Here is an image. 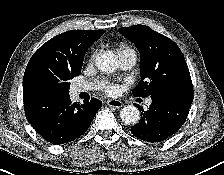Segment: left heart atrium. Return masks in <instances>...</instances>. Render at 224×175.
<instances>
[{"label": "left heart atrium", "mask_w": 224, "mask_h": 175, "mask_svg": "<svg viewBox=\"0 0 224 175\" xmlns=\"http://www.w3.org/2000/svg\"><path fill=\"white\" fill-rule=\"evenodd\" d=\"M103 90L105 91L106 94L112 96L117 95L119 93L120 88L116 84L109 83L103 86Z\"/></svg>", "instance_id": "39dd6f15"}]
</instances>
